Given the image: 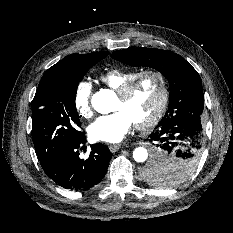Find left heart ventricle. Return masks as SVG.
<instances>
[{
    "label": "left heart ventricle",
    "instance_id": "1",
    "mask_svg": "<svg viewBox=\"0 0 233 233\" xmlns=\"http://www.w3.org/2000/svg\"><path fill=\"white\" fill-rule=\"evenodd\" d=\"M159 85L152 76L141 79L127 98L116 97L113 109L124 110L134 123L146 120L159 101Z\"/></svg>",
    "mask_w": 233,
    "mask_h": 233
}]
</instances>
